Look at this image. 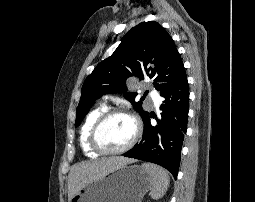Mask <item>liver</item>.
<instances>
[{"label":"liver","instance_id":"liver-1","mask_svg":"<svg viewBox=\"0 0 255 202\" xmlns=\"http://www.w3.org/2000/svg\"><path fill=\"white\" fill-rule=\"evenodd\" d=\"M133 162L125 157H109L74 165L68 175V201L90 181Z\"/></svg>","mask_w":255,"mask_h":202}]
</instances>
